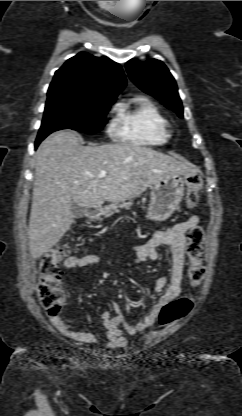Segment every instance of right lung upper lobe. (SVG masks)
<instances>
[{
    "label": "right lung upper lobe",
    "instance_id": "obj_1",
    "mask_svg": "<svg viewBox=\"0 0 242 416\" xmlns=\"http://www.w3.org/2000/svg\"><path fill=\"white\" fill-rule=\"evenodd\" d=\"M126 85L122 68L107 57L81 52L55 72L48 98L115 101Z\"/></svg>",
    "mask_w": 242,
    "mask_h": 416
}]
</instances>
